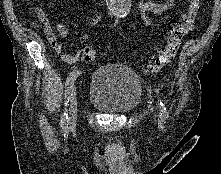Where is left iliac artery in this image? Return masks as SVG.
<instances>
[{"label": "left iliac artery", "instance_id": "left-iliac-artery-1", "mask_svg": "<svg viewBox=\"0 0 221 174\" xmlns=\"http://www.w3.org/2000/svg\"><path fill=\"white\" fill-rule=\"evenodd\" d=\"M158 101H159V107H160V119L165 120L168 118L167 108L161 99H159Z\"/></svg>", "mask_w": 221, "mask_h": 174}]
</instances>
